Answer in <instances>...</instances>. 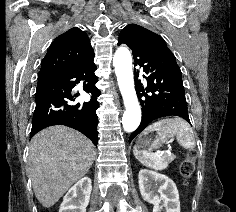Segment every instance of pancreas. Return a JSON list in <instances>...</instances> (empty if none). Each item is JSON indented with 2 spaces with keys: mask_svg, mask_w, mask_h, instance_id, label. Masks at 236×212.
Instances as JSON below:
<instances>
[{
  "mask_svg": "<svg viewBox=\"0 0 236 212\" xmlns=\"http://www.w3.org/2000/svg\"><path fill=\"white\" fill-rule=\"evenodd\" d=\"M165 158H166L167 162H171L174 160L175 156L174 155H165Z\"/></svg>",
  "mask_w": 236,
  "mask_h": 212,
  "instance_id": "obj_1",
  "label": "pancreas"
}]
</instances>
